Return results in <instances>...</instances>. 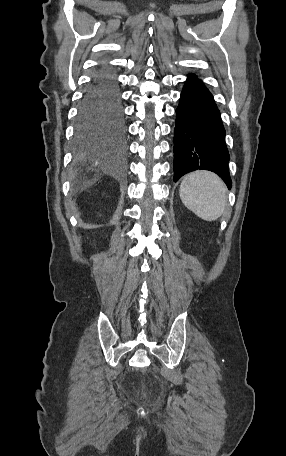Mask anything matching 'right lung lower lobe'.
I'll return each mask as SVG.
<instances>
[{"label":"right lung lower lobe","instance_id":"right-lung-lower-lobe-1","mask_svg":"<svg viewBox=\"0 0 286 456\" xmlns=\"http://www.w3.org/2000/svg\"><path fill=\"white\" fill-rule=\"evenodd\" d=\"M89 122L107 126L123 124V132L125 133L124 113L118 82L113 70L105 64L97 69L79 107L78 127ZM107 131L119 137L123 135L118 132Z\"/></svg>","mask_w":286,"mask_h":456}]
</instances>
